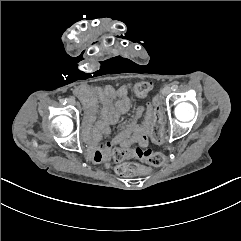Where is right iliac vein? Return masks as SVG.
Listing matches in <instances>:
<instances>
[{"instance_id": "1", "label": "right iliac vein", "mask_w": 241, "mask_h": 241, "mask_svg": "<svg viewBox=\"0 0 241 241\" xmlns=\"http://www.w3.org/2000/svg\"><path fill=\"white\" fill-rule=\"evenodd\" d=\"M68 103H69V104H74L75 101H74L73 99H69V100H68Z\"/></svg>"}]
</instances>
